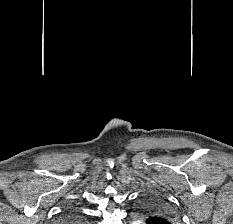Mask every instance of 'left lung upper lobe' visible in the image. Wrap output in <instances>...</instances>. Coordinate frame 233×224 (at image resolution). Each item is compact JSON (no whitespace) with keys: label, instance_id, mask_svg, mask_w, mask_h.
Segmentation results:
<instances>
[{"label":"left lung upper lobe","instance_id":"5c2ea615","mask_svg":"<svg viewBox=\"0 0 233 224\" xmlns=\"http://www.w3.org/2000/svg\"><path fill=\"white\" fill-rule=\"evenodd\" d=\"M137 212L147 218V224H179L180 218L174 208L157 194L149 193L143 196Z\"/></svg>","mask_w":233,"mask_h":224}]
</instances>
